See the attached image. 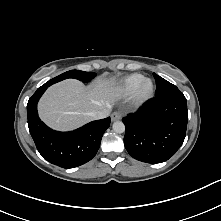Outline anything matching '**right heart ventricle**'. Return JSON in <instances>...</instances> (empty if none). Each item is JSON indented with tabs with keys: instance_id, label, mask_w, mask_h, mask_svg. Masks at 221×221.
<instances>
[{
	"instance_id": "obj_1",
	"label": "right heart ventricle",
	"mask_w": 221,
	"mask_h": 221,
	"mask_svg": "<svg viewBox=\"0 0 221 221\" xmlns=\"http://www.w3.org/2000/svg\"><path fill=\"white\" fill-rule=\"evenodd\" d=\"M143 79L144 76L141 74L138 73L130 74L121 80L118 86V90L123 95H131L135 92L138 85L142 82Z\"/></svg>"
}]
</instances>
